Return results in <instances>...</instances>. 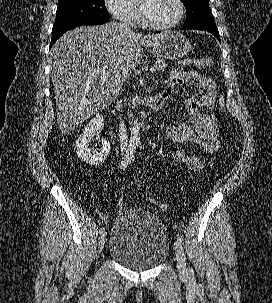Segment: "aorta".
Masks as SVG:
<instances>
[{
	"label": "aorta",
	"mask_w": 272,
	"mask_h": 303,
	"mask_svg": "<svg viewBox=\"0 0 272 303\" xmlns=\"http://www.w3.org/2000/svg\"><path fill=\"white\" fill-rule=\"evenodd\" d=\"M130 142L133 145H138L140 142V125L137 118L130 128Z\"/></svg>",
	"instance_id": "1"
}]
</instances>
